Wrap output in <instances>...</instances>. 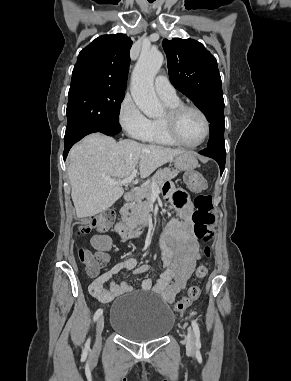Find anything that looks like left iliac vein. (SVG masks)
I'll list each match as a JSON object with an SVG mask.
<instances>
[{"label": "left iliac vein", "mask_w": 291, "mask_h": 381, "mask_svg": "<svg viewBox=\"0 0 291 381\" xmlns=\"http://www.w3.org/2000/svg\"><path fill=\"white\" fill-rule=\"evenodd\" d=\"M186 347L190 351H193L195 349V335L191 329L188 330L186 338Z\"/></svg>", "instance_id": "1"}]
</instances>
